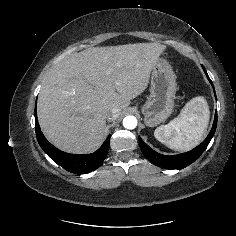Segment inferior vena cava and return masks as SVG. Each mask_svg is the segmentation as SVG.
<instances>
[{
    "instance_id": "602c4592",
    "label": "inferior vena cava",
    "mask_w": 236,
    "mask_h": 236,
    "mask_svg": "<svg viewBox=\"0 0 236 236\" xmlns=\"http://www.w3.org/2000/svg\"><path fill=\"white\" fill-rule=\"evenodd\" d=\"M117 112H118V109L113 108V109L108 113L107 119H108L109 121L115 120L116 117H117Z\"/></svg>"
}]
</instances>
